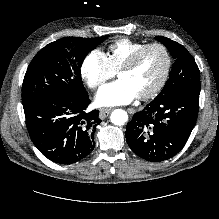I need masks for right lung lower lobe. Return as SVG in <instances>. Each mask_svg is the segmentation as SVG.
Here are the masks:
<instances>
[{"label":"right lung lower lobe","instance_id":"obj_1","mask_svg":"<svg viewBox=\"0 0 219 219\" xmlns=\"http://www.w3.org/2000/svg\"><path fill=\"white\" fill-rule=\"evenodd\" d=\"M90 102L88 95L55 94L23 105L29 135L45 157L71 164L93 150V134L101 120L98 110L86 111Z\"/></svg>","mask_w":219,"mask_h":219}]
</instances>
